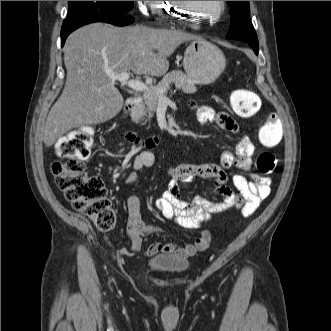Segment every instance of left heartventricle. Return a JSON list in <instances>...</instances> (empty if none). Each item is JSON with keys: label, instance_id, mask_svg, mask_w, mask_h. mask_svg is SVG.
<instances>
[{"label": "left heart ventricle", "instance_id": "1", "mask_svg": "<svg viewBox=\"0 0 331 331\" xmlns=\"http://www.w3.org/2000/svg\"><path fill=\"white\" fill-rule=\"evenodd\" d=\"M193 15H214L219 9L218 1H188Z\"/></svg>", "mask_w": 331, "mask_h": 331}]
</instances>
